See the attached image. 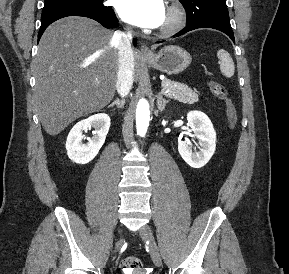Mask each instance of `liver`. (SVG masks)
<instances>
[{"mask_svg": "<svg viewBox=\"0 0 289 274\" xmlns=\"http://www.w3.org/2000/svg\"><path fill=\"white\" fill-rule=\"evenodd\" d=\"M112 37L111 31L83 17L60 19L44 32L34 60V96L49 135L112 101L119 68ZM133 57L138 72L140 56L133 51Z\"/></svg>", "mask_w": 289, "mask_h": 274, "instance_id": "obj_1", "label": "liver"}]
</instances>
